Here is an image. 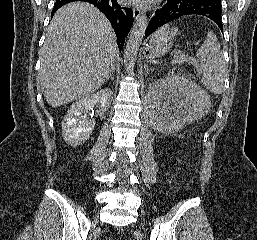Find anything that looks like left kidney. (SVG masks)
Returning a JSON list of instances; mask_svg holds the SVG:
<instances>
[{
  "label": "left kidney",
  "instance_id": "left-kidney-1",
  "mask_svg": "<svg viewBox=\"0 0 257 240\" xmlns=\"http://www.w3.org/2000/svg\"><path fill=\"white\" fill-rule=\"evenodd\" d=\"M145 106L153 129L172 134L202 118L209 109V97L191 80L172 74L150 84Z\"/></svg>",
  "mask_w": 257,
  "mask_h": 240
}]
</instances>
